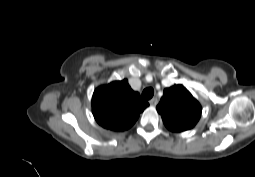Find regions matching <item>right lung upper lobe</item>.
Listing matches in <instances>:
<instances>
[{"mask_svg": "<svg viewBox=\"0 0 255 177\" xmlns=\"http://www.w3.org/2000/svg\"><path fill=\"white\" fill-rule=\"evenodd\" d=\"M147 106L148 102L141 100L127 79L98 87L92 97L95 120L103 128L112 131L129 129Z\"/></svg>", "mask_w": 255, "mask_h": 177, "instance_id": "1", "label": "right lung upper lobe"}]
</instances>
